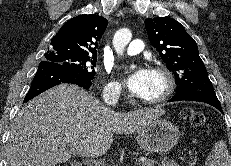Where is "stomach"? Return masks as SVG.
<instances>
[{
	"label": "stomach",
	"mask_w": 231,
	"mask_h": 166,
	"mask_svg": "<svg viewBox=\"0 0 231 166\" xmlns=\"http://www.w3.org/2000/svg\"><path fill=\"white\" fill-rule=\"evenodd\" d=\"M179 137V129L174 123L158 117L142 126L137 131L136 139L145 151L165 153L177 144Z\"/></svg>",
	"instance_id": "stomach-1"
}]
</instances>
